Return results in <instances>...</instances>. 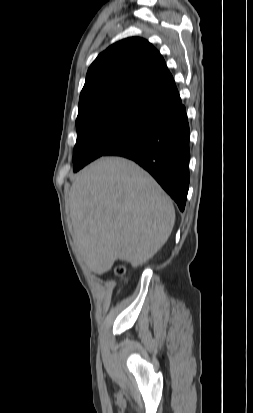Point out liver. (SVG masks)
<instances>
[{"label": "liver", "mask_w": 253, "mask_h": 413, "mask_svg": "<svg viewBox=\"0 0 253 413\" xmlns=\"http://www.w3.org/2000/svg\"><path fill=\"white\" fill-rule=\"evenodd\" d=\"M73 241L88 269L111 270L117 260L146 263L168 240L175 222L171 199L140 166L100 158L80 171L69 192Z\"/></svg>", "instance_id": "1"}]
</instances>
